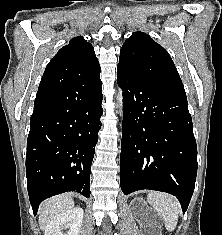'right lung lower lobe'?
<instances>
[{"label": "right lung lower lobe", "instance_id": "98d812e1", "mask_svg": "<svg viewBox=\"0 0 222 235\" xmlns=\"http://www.w3.org/2000/svg\"><path fill=\"white\" fill-rule=\"evenodd\" d=\"M100 74L71 83H43L34 102L26 176L33 213L67 191L90 196V172L101 127Z\"/></svg>", "mask_w": 222, "mask_h": 235}]
</instances>
